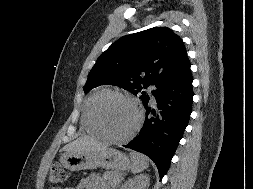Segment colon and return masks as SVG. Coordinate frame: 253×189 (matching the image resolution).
<instances>
[{
  "instance_id": "colon-1",
  "label": "colon",
  "mask_w": 253,
  "mask_h": 189,
  "mask_svg": "<svg viewBox=\"0 0 253 189\" xmlns=\"http://www.w3.org/2000/svg\"><path fill=\"white\" fill-rule=\"evenodd\" d=\"M68 178L67 171L59 164L52 165L49 173V183L52 185L64 183Z\"/></svg>"
}]
</instances>
